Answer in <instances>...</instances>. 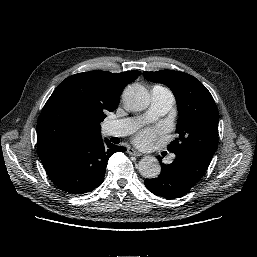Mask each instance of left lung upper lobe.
Instances as JSON below:
<instances>
[{"instance_id": "obj_1", "label": "left lung upper lobe", "mask_w": 257, "mask_h": 257, "mask_svg": "<svg viewBox=\"0 0 257 257\" xmlns=\"http://www.w3.org/2000/svg\"><path fill=\"white\" fill-rule=\"evenodd\" d=\"M143 75L149 81L165 84L176 97L178 138L169 144L168 150L199 152L212 158L218 147L219 112L208 89L184 72L160 70Z\"/></svg>"}]
</instances>
